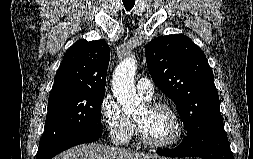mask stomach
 Instances as JSON below:
<instances>
[{
	"label": "stomach",
	"instance_id": "1",
	"mask_svg": "<svg viewBox=\"0 0 253 159\" xmlns=\"http://www.w3.org/2000/svg\"><path fill=\"white\" fill-rule=\"evenodd\" d=\"M148 159H162V158H158V157H150ZM168 159V158H167Z\"/></svg>",
	"mask_w": 253,
	"mask_h": 159
}]
</instances>
